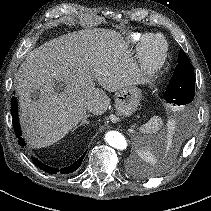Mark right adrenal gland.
Here are the masks:
<instances>
[{
  "label": "right adrenal gland",
  "instance_id": "2a0ac1e0",
  "mask_svg": "<svg viewBox=\"0 0 211 211\" xmlns=\"http://www.w3.org/2000/svg\"><path fill=\"white\" fill-rule=\"evenodd\" d=\"M91 115L88 114L84 117V119L81 121V123L79 125H77L72 132H74L78 127L82 126L83 124H89V121L87 120L88 117H90Z\"/></svg>",
  "mask_w": 211,
  "mask_h": 211
}]
</instances>
